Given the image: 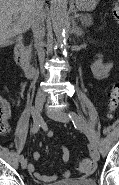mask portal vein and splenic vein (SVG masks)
Here are the masks:
<instances>
[{
	"mask_svg": "<svg viewBox=\"0 0 119 185\" xmlns=\"http://www.w3.org/2000/svg\"><path fill=\"white\" fill-rule=\"evenodd\" d=\"M75 17H79V14L75 15Z\"/></svg>",
	"mask_w": 119,
	"mask_h": 185,
	"instance_id": "1",
	"label": "portal vein and splenic vein"
}]
</instances>
